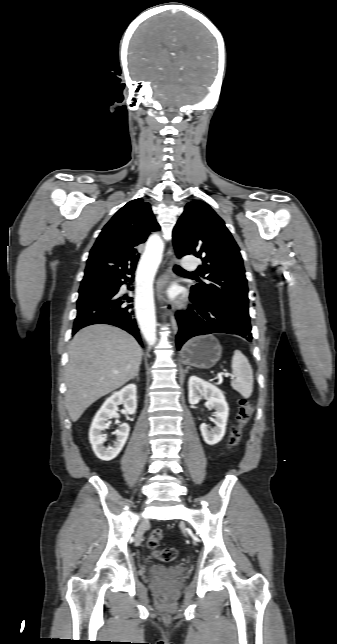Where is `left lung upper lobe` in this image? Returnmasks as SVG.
Here are the masks:
<instances>
[{
	"label": "left lung upper lobe",
	"instance_id": "obj_1",
	"mask_svg": "<svg viewBox=\"0 0 337 644\" xmlns=\"http://www.w3.org/2000/svg\"><path fill=\"white\" fill-rule=\"evenodd\" d=\"M178 258H201L199 281L191 294L202 303L222 305L250 323L248 287L240 250L224 221L205 202H189L173 230Z\"/></svg>",
	"mask_w": 337,
	"mask_h": 644
}]
</instances>
